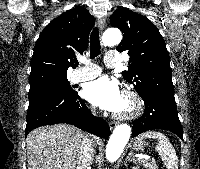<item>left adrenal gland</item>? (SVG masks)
I'll list each match as a JSON object with an SVG mask.
<instances>
[{
	"label": "left adrenal gland",
	"mask_w": 200,
	"mask_h": 169,
	"mask_svg": "<svg viewBox=\"0 0 200 169\" xmlns=\"http://www.w3.org/2000/svg\"><path fill=\"white\" fill-rule=\"evenodd\" d=\"M135 161V158L133 157V152L132 151H130L129 153H128V156L126 157V159H125V162H127V161Z\"/></svg>",
	"instance_id": "a2214340"
}]
</instances>
